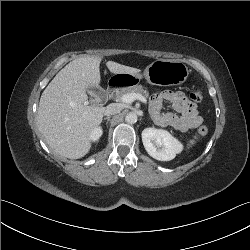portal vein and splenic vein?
Wrapping results in <instances>:
<instances>
[{"mask_svg":"<svg viewBox=\"0 0 250 250\" xmlns=\"http://www.w3.org/2000/svg\"><path fill=\"white\" fill-rule=\"evenodd\" d=\"M135 100H139L145 104L147 103V99L141 94L129 93V94H125L121 97V101L123 103H132Z\"/></svg>","mask_w":250,"mask_h":250,"instance_id":"18ae733b","label":"portal vein and splenic vein"}]
</instances>
